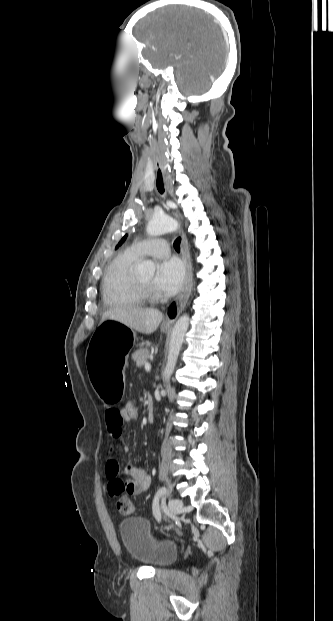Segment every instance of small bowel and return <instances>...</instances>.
<instances>
[{
  "instance_id": "small-bowel-1",
  "label": "small bowel",
  "mask_w": 333,
  "mask_h": 621,
  "mask_svg": "<svg viewBox=\"0 0 333 621\" xmlns=\"http://www.w3.org/2000/svg\"><path fill=\"white\" fill-rule=\"evenodd\" d=\"M105 421L108 434L113 439H119L123 432L126 420L121 408L110 407L106 410ZM128 450V447H125ZM107 491L111 497H122L124 495H139L145 492L151 482L150 475L142 468H138L128 463L123 471L129 477L124 480L120 478L121 467L114 456L106 459Z\"/></svg>"
}]
</instances>
